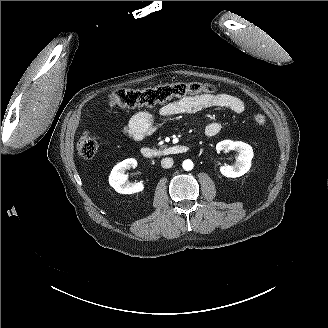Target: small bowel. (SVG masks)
<instances>
[{"instance_id":"1","label":"small bowel","mask_w":328,"mask_h":328,"mask_svg":"<svg viewBox=\"0 0 328 328\" xmlns=\"http://www.w3.org/2000/svg\"><path fill=\"white\" fill-rule=\"evenodd\" d=\"M210 108H224L241 114L245 111V104L240 98L226 93L200 94L171 101L163 105L158 114L162 117H170L179 114L198 113ZM156 128V115L149 111H139L133 114L123 125L122 132L128 138L139 141L153 134ZM221 129V124L213 121L206 125L205 134L214 137L220 133Z\"/></svg>"}]
</instances>
